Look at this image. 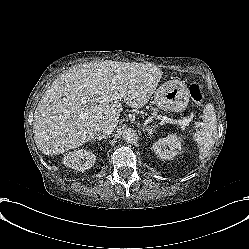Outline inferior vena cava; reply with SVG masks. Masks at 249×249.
<instances>
[{"label":"inferior vena cava","mask_w":249,"mask_h":249,"mask_svg":"<svg viewBox=\"0 0 249 249\" xmlns=\"http://www.w3.org/2000/svg\"><path fill=\"white\" fill-rule=\"evenodd\" d=\"M117 123H118L117 121H111L101 124L99 128L100 135L102 134L103 136H105L111 134L114 131Z\"/></svg>","instance_id":"1"}]
</instances>
